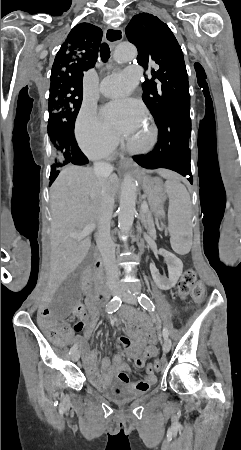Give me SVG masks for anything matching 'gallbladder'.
<instances>
[{"label": "gallbladder", "mask_w": 241, "mask_h": 450, "mask_svg": "<svg viewBox=\"0 0 241 450\" xmlns=\"http://www.w3.org/2000/svg\"><path fill=\"white\" fill-rule=\"evenodd\" d=\"M93 254H88L87 260L92 258ZM87 260H83L81 266H86ZM82 277L79 270H72L65 276V281H61L54 301H49V310L53 311V319L59 323L68 320L69 315L74 314L75 306L80 304Z\"/></svg>", "instance_id": "obj_1"}]
</instances>
